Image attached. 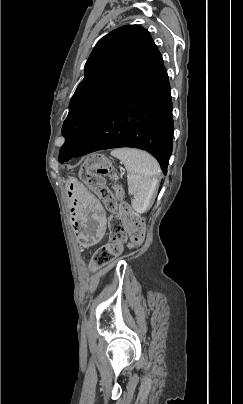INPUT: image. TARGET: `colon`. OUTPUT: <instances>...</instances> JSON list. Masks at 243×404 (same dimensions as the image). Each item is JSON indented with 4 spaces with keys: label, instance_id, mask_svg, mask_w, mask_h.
Segmentation results:
<instances>
[{
    "label": "colon",
    "instance_id": "5ec220e1",
    "mask_svg": "<svg viewBox=\"0 0 243 404\" xmlns=\"http://www.w3.org/2000/svg\"><path fill=\"white\" fill-rule=\"evenodd\" d=\"M109 163L102 155L90 157L81 169L80 177L84 184L94 192L111 212L108 219L110 242L100 247L91 259V268L98 269L112 260L121 252L128 242L137 246L144 239V221L127 204L120 203L119 191L106 185L102 174L110 170Z\"/></svg>",
    "mask_w": 243,
    "mask_h": 404
}]
</instances>
